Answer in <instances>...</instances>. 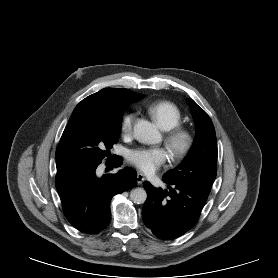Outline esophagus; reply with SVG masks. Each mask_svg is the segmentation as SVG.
<instances>
[{
	"label": "esophagus",
	"mask_w": 278,
	"mask_h": 278,
	"mask_svg": "<svg viewBox=\"0 0 278 278\" xmlns=\"http://www.w3.org/2000/svg\"><path fill=\"white\" fill-rule=\"evenodd\" d=\"M145 178L144 175L142 173H138L137 175V184L141 185L144 182Z\"/></svg>",
	"instance_id": "34e87169"
}]
</instances>
